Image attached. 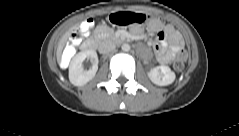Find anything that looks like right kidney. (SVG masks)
Here are the masks:
<instances>
[{
	"label": "right kidney",
	"instance_id": "1",
	"mask_svg": "<svg viewBox=\"0 0 239 136\" xmlns=\"http://www.w3.org/2000/svg\"><path fill=\"white\" fill-rule=\"evenodd\" d=\"M90 59L92 68L85 70L83 68V61ZM98 70V57L94 50L82 51L76 54L69 65V80L74 86H83L94 78Z\"/></svg>",
	"mask_w": 239,
	"mask_h": 136
}]
</instances>
